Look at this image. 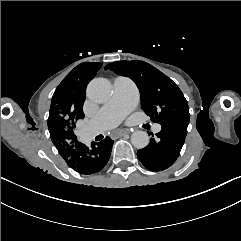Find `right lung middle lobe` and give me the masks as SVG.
<instances>
[{"instance_id": "obj_1", "label": "right lung middle lobe", "mask_w": 241, "mask_h": 241, "mask_svg": "<svg viewBox=\"0 0 241 241\" xmlns=\"http://www.w3.org/2000/svg\"><path fill=\"white\" fill-rule=\"evenodd\" d=\"M100 68L99 62H86L76 66L56 88L50 112L74 118L83 107L87 84Z\"/></svg>"}]
</instances>
